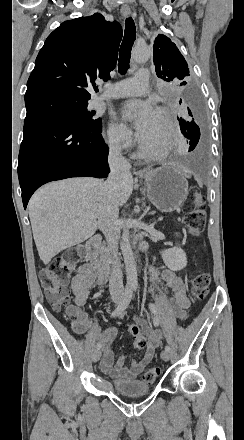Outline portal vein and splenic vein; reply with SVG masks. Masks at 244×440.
<instances>
[{
	"label": "portal vein and splenic vein",
	"instance_id": "obj_1",
	"mask_svg": "<svg viewBox=\"0 0 244 440\" xmlns=\"http://www.w3.org/2000/svg\"><path fill=\"white\" fill-rule=\"evenodd\" d=\"M75 222H79V220H75Z\"/></svg>",
	"mask_w": 244,
	"mask_h": 440
}]
</instances>
